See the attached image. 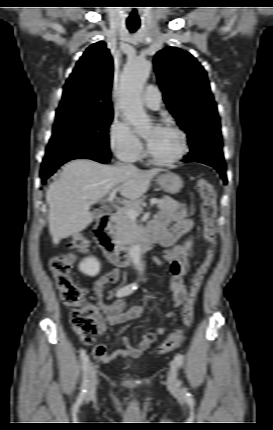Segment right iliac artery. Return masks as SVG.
I'll list each match as a JSON object with an SVG mask.
<instances>
[{
    "mask_svg": "<svg viewBox=\"0 0 273 430\" xmlns=\"http://www.w3.org/2000/svg\"><path fill=\"white\" fill-rule=\"evenodd\" d=\"M137 288H138L137 283H131L129 285H126V286L120 288L116 292V297H124V296L130 295ZM80 358L82 361V368H83V381H82V386H81L80 398H83L85 393L87 392V386H88L87 370H88V365H89L88 356H87L85 350H83V349H81V351H80Z\"/></svg>",
    "mask_w": 273,
    "mask_h": 430,
    "instance_id": "1",
    "label": "right iliac artery"
}]
</instances>
